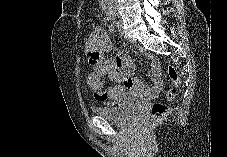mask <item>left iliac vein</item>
<instances>
[{
    "mask_svg": "<svg viewBox=\"0 0 227 157\" xmlns=\"http://www.w3.org/2000/svg\"><path fill=\"white\" fill-rule=\"evenodd\" d=\"M117 24H118L117 26H118L119 31H120L121 33H124L123 27H122V23L119 22V23H117ZM125 37L127 38V36H125ZM130 41L135 42L136 40L130 39Z\"/></svg>",
    "mask_w": 227,
    "mask_h": 157,
    "instance_id": "obj_1",
    "label": "left iliac vein"
}]
</instances>
